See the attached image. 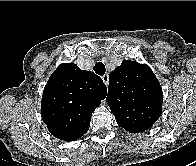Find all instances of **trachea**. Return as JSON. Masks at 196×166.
Masks as SVG:
<instances>
[{
	"label": "trachea",
	"mask_w": 196,
	"mask_h": 166,
	"mask_svg": "<svg viewBox=\"0 0 196 166\" xmlns=\"http://www.w3.org/2000/svg\"><path fill=\"white\" fill-rule=\"evenodd\" d=\"M94 71L100 76L104 75L106 71L104 64L101 62L96 63Z\"/></svg>",
	"instance_id": "1"
}]
</instances>
